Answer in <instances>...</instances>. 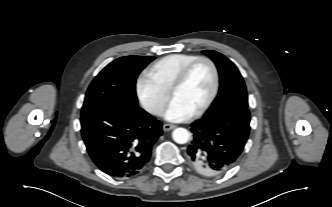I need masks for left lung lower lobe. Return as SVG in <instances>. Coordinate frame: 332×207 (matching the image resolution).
Returning <instances> with one entry per match:
<instances>
[{
    "instance_id": "0a47b994",
    "label": "left lung lower lobe",
    "mask_w": 332,
    "mask_h": 207,
    "mask_svg": "<svg viewBox=\"0 0 332 207\" xmlns=\"http://www.w3.org/2000/svg\"><path fill=\"white\" fill-rule=\"evenodd\" d=\"M191 126L188 162L199 174L214 177L229 170L241 155L249 136L250 112L246 107H229Z\"/></svg>"
}]
</instances>
